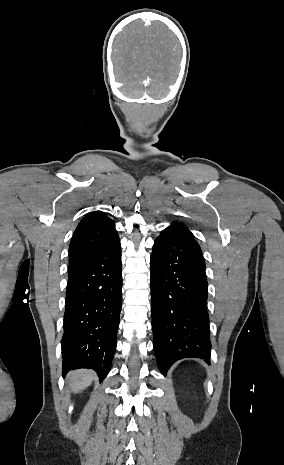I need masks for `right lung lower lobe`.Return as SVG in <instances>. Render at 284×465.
Wrapping results in <instances>:
<instances>
[{
    "label": "right lung lower lobe",
    "instance_id": "right-lung-lower-lobe-1",
    "mask_svg": "<svg viewBox=\"0 0 284 465\" xmlns=\"http://www.w3.org/2000/svg\"><path fill=\"white\" fill-rule=\"evenodd\" d=\"M61 341L63 375L78 368L107 376L116 349L122 306V264L117 236L95 254L69 264Z\"/></svg>",
    "mask_w": 284,
    "mask_h": 465
}]
</instances>
